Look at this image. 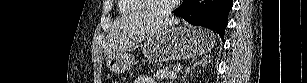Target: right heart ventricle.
I'll use <instances>...</instances> for the list:
<instances>
[{
  "mask_svg": "<svg viewBox=\"0 0 307 83\" xmlns=\"http://www.w3.org/2000/svg\"><path fill=\"white\" fill-rule=\"evenodd\" d=\"M118 10L121 14H132L143 12L146 8L138 0H119Z\"/></svg>",
  "mask_w": 307,
  "mask_h": 83,
  "instance_id": "1",
  "label": "right heart ventricle"
}]
</instances>
